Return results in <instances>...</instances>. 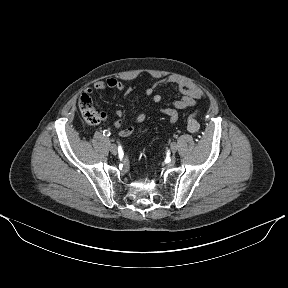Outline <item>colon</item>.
<instances>
[{"instance_id":"obj_1","label":"colon","mask_w":288,"mask_h":288,"mask_svg":"<svg viewBox=\"0 0 288 288\" xmlns=\"http://www.w3.org/2000/svg\"><path fill=\"white\" fill-rule=\"evenodd\" d=\"M80 112L89 124H97L102 120V114L97 112L92 105L91 98L89 95L83 94L79 100ZM199 111H194L187 120V129L191 133H198L200 130V124L197 120Z\"/></svg>"}]
</instances>
